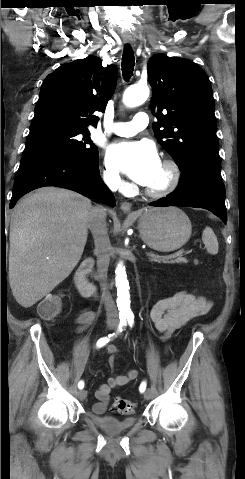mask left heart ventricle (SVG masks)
<instances>
[{"label": "left heart ventricle", "instance_id": "1", "mask_svg": "<svg viewBox=\"0 0 245 479\" xmlns=\"http://www.w3.org/2000/svg\"><path fill=\"white\" fill-rule=\"evenodd\" d=\"M167 179V172L166 170L161 166L159 169V172L157 173L155 179L152 181L151 184L148 185L150 188H158L162 186Z\"/></svg>", "mask_w": 245, "mask_h": 479}]
</instances>
